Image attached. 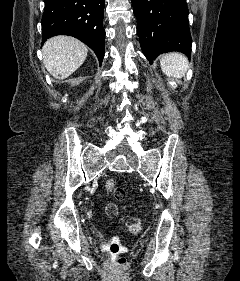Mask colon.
Segmentation results:
<instances>
[{
  "label": "colon",
  "mask_w": 240,
  "mask_h": 281,
  "mask_svg": "<svg viewBox=\"0 0 240 281\" xmlns=\"http://www.w3.org/2000/svg\"><path fill=\"white\" fill-rule=\"evenodd\" d=\"M105 189L107 193L117 200H123L125 198V191L113 179L106 181ZM105 213L110 218H116L119 215V209L116 204L108 203L105 206ZM127 227L132 233H137L141 229V221L138 218H130L127 221ZM106 255L107 261L114 267H123L127 263L123 247L119 242L109 243L106 247Z\"/></svg>",
  "instance_id": "5ec220e1"
}]
</instances>
